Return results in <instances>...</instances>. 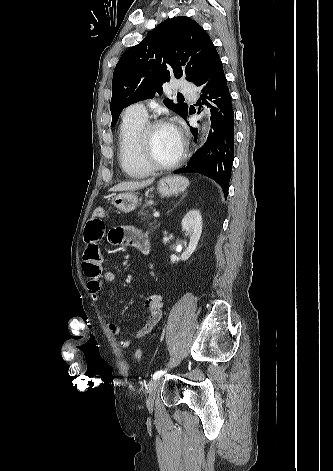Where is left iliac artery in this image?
I'll return each instance as SVG.
<instances>
[{
    "label": "left iliac artery",
    "mask_w": 333,
    "mask_h": 471,
    "mask_svg": "<svg viewBox=\"0 0 333 471\" xmlns=\"http://www.w3.org/2000/svg\"><path fill=\"white\" fill-rule=\"evenodd\" d=\"M166 371L160 370L154 373L153 379H158L160 378Z\"/></svg>",
    "instance_id": "44dca946"
}]
</instances>
